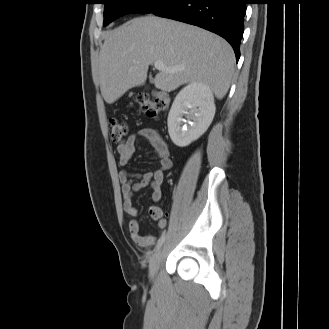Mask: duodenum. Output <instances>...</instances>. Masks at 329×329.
Listing matches in <instances>:
<instances>
[{"mask_svg":"<svg viewBox=\"0 0 329 329\" xmlns=\"http://www.w3.org/2000/svg\"><path fill=\"white\" fill-rule=\"evenodd\" d=\"M157 97L164 103L167 104L168 103V97L163 94V93H158Z\"/></svg>","mask_w":329,"mask_h":329,"instance_id":"duodenum-1","label":"duodenum"}]
</instances>
